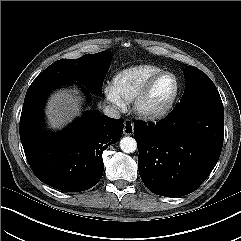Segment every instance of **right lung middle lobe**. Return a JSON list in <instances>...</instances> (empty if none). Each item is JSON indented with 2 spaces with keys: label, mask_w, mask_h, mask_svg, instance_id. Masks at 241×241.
<instances>
[{
  "label": "right lung middle lobe",
  "mask_w": 241,
  "mask_h": 241,
  "mask_svg": "<svg viewBox=\"0 0 241 241\" xmlns=\"http://www.w3.org/2000/svg\"><path fill=\"white\" fill-rule=\"evenodd\" d=\"M111 54L108 51L87 54L79 59H61L48 66L31 85L54 80H73L89 91L102 94V85L109 70Z\"/></svg>",
  "instance_id": "obj_1"
}]
</instances>
